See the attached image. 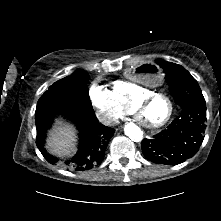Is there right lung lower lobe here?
<instances>
[{"mask_svg": "<svg viewBox=\"0 0 221 221\" xmlns=\"http://www.w3.org/2000/svg\"><path fill=\"white\" fill-rule=\"evenodd\" d=\"M65 117L76 123L80 132L79 150L76 155L67 161L49 155L44 148L46 131L51 127L52 120L36 125L37 147L44 158L51 164L63 165L68 170L83 171L100 164L104 158L108 142L114 135L115 130L99 124L95 113L65 114Z\"/></svg>", "mask_w": 221, "mask_h": 221, "instance_id": "obj_1", "label": "right lung lower lobe"}]
</instances>
